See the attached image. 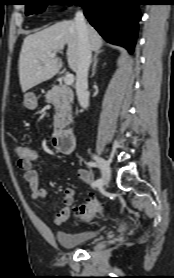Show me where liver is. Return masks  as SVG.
Returning <instances> with one entry per match:
<instances>
[{
	"label": "liver",
	"mask_w": 174,
	"mask_h": 278,
	"mask_svg": "<svg viewBox=\"0 0 174 278\" xmlns=\"http://www.w3.org/2000/svg\"><path fill=\"white\" fill-rule=\"evenodd\" d=\"M88 40L91 51L100 52L103 39L91 26ZM67 45L69 68L76 72L79 65V39L74 21L58 22L42 31L28 35L19 56V81L23 92L54 77L62 67V60L52 53Z\"/></svg>",
	"instance_id": "1"
}]
</instances>
